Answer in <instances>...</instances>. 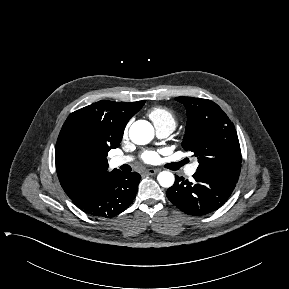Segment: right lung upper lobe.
I'll list each match as a JSON object with an SVG mask.
<instances>
[{
	"mask_svg": "<svg viewBox=\"0 0 289 289\" xmlns=\"http://www.w3.org/2000/svg\"><path fill=\"white\" fill-rule=\"evenodd\" d=\"M144 104L101 100L68 116L56 143L55 163L60 184L70 199L117 171H108V151L120 145L126 124ZM77 139L92 149L90 158L82 157L76 149Z\"/></svg>",
	"mask_w": 289,
	"mask_h": 289,
	"instance_id": "1",
	"label": "right lung upper lobe"
}]
</instances>
